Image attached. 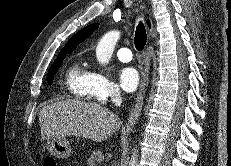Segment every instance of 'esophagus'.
<instances>
[{
    "instance_id": "esophagus-1",
    "label": "esophagus",
    "mask_w": 231,
    "mask_h": 166,
    "mask_svg": "<svg viewBox=\"0 0 231 166\" xmlns=\"http://www.w3.org/2000/svg\"><path fill=\"white\" fill-rule=\"evenodd\" d=\"M151 49H152L151 45H148L147 49L144 52V70L142 72V78H141L139 90L136 95L135 104L131 110L128 122L124 129V131L126 132H129L132 130L142 110L143 100H144L145 92H146L148 82H149L150 58H151L150 50Z\"/></svg>"
}]
</instances>
